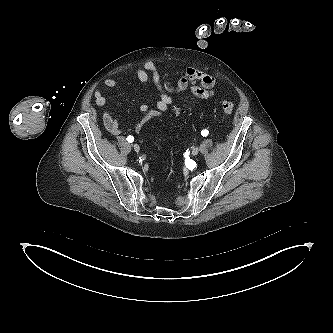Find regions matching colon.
<instances>
[{
	"mask_svg": "<svg viewBox=\"0 0 333 333\" xmlns=\"http://www.w3.org/2000/svg\"><path fill=\"white\" fill-rule=\"evenodd\" d=\"M233 109H234V105L231 101L225 100L222 102V112L225 116L231 115L233 112ZM174 112L178 114L181 112V109L178 107H175Z\"/></svg>",
	"mask_w": 333,
	"mask_h": 333,
	"instance_id": "obj_1",
	"label": "colon"
}]
</instances>
